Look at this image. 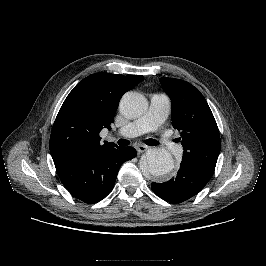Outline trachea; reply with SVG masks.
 I'll return each instance as SVG.
<instances>
[{"label": "trachea", "mask_w": 266, "mask_h": 266, "mask_svg": "<svg viewBox=\"0 0 266 266\" xmlns=\"http://www.w3.org/2000/svg\"><path fill=\"white\" fill-rule=\"evenodd\" d=\"M146 142H147L148 145H158L159 144V142L157 140H155V139H148ZM118 144L120 146H127V145L130 144V141L125 140V139H119L118 140Z\"/></svg>", "instance_id": "1"}]
</instances>
